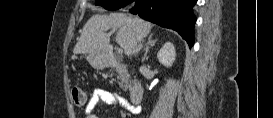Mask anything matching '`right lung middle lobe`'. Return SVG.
Segmentation results:
<instances>
[{
	"label": "right lung middle lobe",
	"mask_w": 273,
	"mask_h": 118,
	"mask_svg": "<svg viewBox=\"0 0 273 118\" xmlns=\"http://www.w3.org/2000/svg\"><path fill=\"white\" fill-rule=\"evenodd\" d=\"M133 2V0H95V5H100L107 10H117Z\"/></svg>",
	"instance_id": "dd1d6c3e"
}]
</instances>
